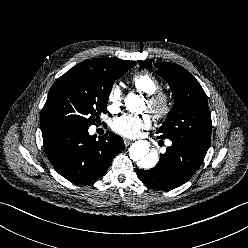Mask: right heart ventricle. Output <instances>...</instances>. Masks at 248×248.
Instances as JSON below:
<instances>
[{"mask_svg":"<svg viewBox=\"0 0 248 248\" xmlns=\"http://www.w3.org/2000/svg\"><path fill=\"white\" fill-rule=\"evenodd\" d=\"M131 84L133 87L146 95H151L160 89L158 79L149 72H139L132 76Z\"/></svg>","mask_w":248,"mask_h":248,"instance_id":"1","label":"right heart ventricle"}]
</instances>
